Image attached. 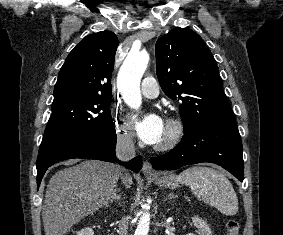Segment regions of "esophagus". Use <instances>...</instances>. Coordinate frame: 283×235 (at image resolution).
I'll use <instances>...</instances> for the list:
<instances>
[{
    "mask_svg": "<svg viewBox=\"0 0 283 235\" xmlns=\"http://www.w3.org/2000/svg\"><path fill=\"white\" fill-rule=\"evenodd\" d=\"M142 171L145 175H154V169L149 161H145L142 166Z\"/></svg>",
    "mask_w": 283,
    "mask_h": 235,
    "instance_id": "1",
    "label": "esophagus"
}]
</instances>
